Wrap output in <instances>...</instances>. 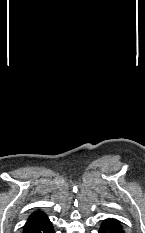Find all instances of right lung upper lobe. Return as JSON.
I'll return each instance as SVG.
<instances>
[{"label":"right lung upper lobe","instance_id":"1","mask_svg":"<svg viewBox=\"0 0 145 233\" xmlns=\"http://www.w3.org/2000/svg\"><path fill=\"white\" fill-rule=\"evenodd\" d=\"M45 217H47V216L43 212H41V211H35V212H33L29 216L26 224L24 225V230L26 228H28L30 225H32L34 222H37V221H39V220H41V219H43Z\"/></svg>","mask_w":145,"mask_h":233}]
</instances>
